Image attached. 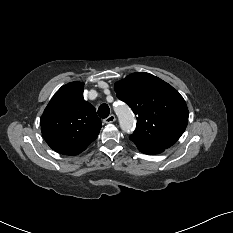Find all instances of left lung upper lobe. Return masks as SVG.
Listing matches in <instances>:
<instances>
[{"label": "left lung upper lobe", "mask_w": 233, "mask_h": 233, "mask_svg": "<svg viewBox=\"0 0 233 233\" xmlns=\"http://www.w3.org/2000/svg\"><path fill=\"white\" fill-rule=\"evenodd\" d=\"M114 89L138 116L130 136L137 147L166 149L183 134L188 123L187 105L165 81L149 73H133L116 82Z\"/></svg>", "instance_id": "1"}]
</instances>
